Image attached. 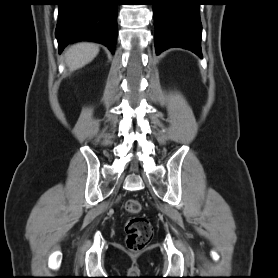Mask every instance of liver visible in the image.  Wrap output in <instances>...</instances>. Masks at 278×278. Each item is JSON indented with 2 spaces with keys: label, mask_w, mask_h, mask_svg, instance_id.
<instances>
[{
  "label": "liver",
  "mask_w": 278,
  "mask_h": 278,
  "mask_svg": "<svg viewBox=\"0 0 278 278\" xmlns=\"http://www.w3.org/2000/svg\"><path fill=\"white\" fill-rule=\"evenodd\" d=\"M99 52L94 43L81 42L70 47L66 56V64L71 70L81 68L91 62Z\"/></svg>",
  "instance_id": "obj_1"
}]
</instances>
